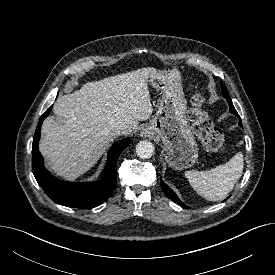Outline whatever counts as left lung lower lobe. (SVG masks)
<instances>
[{"mask_svg": "<svg viewBox=\"0 0 275 275\" xmlns=\"http://www.w3.org/2000/svg\"><path fill=\"white\" fill-rule=\"evenodd\" d=\"M226 100L228 101L229 103V110L231 113L238 115L237 111L235 110L233 104H232V100L230 98V96H225ZM239 125L242 126V123H241V120H239ZM160 184H161V187H162V190L163 192L166 194V196L169 198V199H172L173 201L177 202L180 206H182L183 208H188L185 204H183L181 202V200L178 198V196L172 191V189H170L163 181L162 179L160 180Z\"/></svg>", "mask_w": 275, "mask_h": 275, "instance_id": "obj_1", "label": "left lung lower lobe"}]
</instances>
